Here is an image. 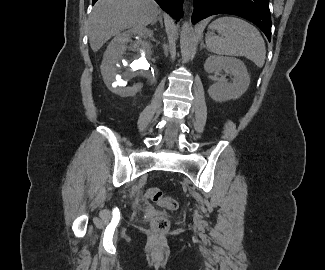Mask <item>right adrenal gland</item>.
<instances>
[{
    "label": "right adrenal gland",
    "mask_w": 325,
    "mask_h": 270,
    "mask_svg": "<svg viewBox=\"0 0 325 270\" xmlns=\"http://www.w3.org/2000/svg\"><path fill=\"white\" fill-rule=\"evenodd\" d=\"M157 21H159L160 24H161V26L163 27V20H162L161 15H159V16L157 17V19L154 20V21L152 22V25L156 24Z\"/></svg>",
    "instance_id": "2a0ac1e0"
}]
</instances>
